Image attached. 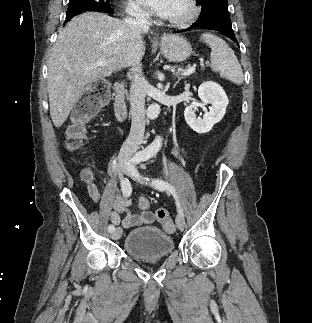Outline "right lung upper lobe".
I'll use <instances>...</instances> for the list:
<instances>
[{"instance_id": "cb5924a9", "label": "right lung upper lobe", "mask_w": 312, "mask_h": 323, "mask_svg": "<svg viewBox=\"0 0 312 323\" xmlns=\"http://www.w3.org/2000/svg\"><path fill=\"white\" fill-rule=\"evenodd\" d=\"M88 11H91V10H88ZM95 11H102V12H104V11H106V10H95Z\"/></svg>"}]
</instances>
